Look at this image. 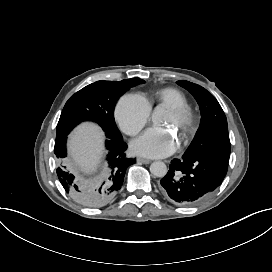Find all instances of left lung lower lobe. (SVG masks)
I'll return each instance as SVG.
<instances>
[{
    "mask_svg": "<svg viewBox=\"0 0 272 272\" xmlns=\"http://www.w3.org/2000/svg\"><path fill=\"white\" fill-rule=\"evenodd\" d=\"M227 167L228 161L214 156L174 159L160 181V191L180 206L194 205L222 183Z\"/></svg>",
    "mask_w": 272,
    "mask_h": 272,
    "instance_id": "obj_1",
    "label": "left lung lower lobe"
}]
</instances>
